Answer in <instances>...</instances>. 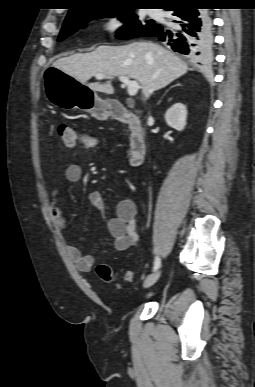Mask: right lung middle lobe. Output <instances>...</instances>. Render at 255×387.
Masks as SVG:
<instances>
[{
    "mask_svg": "<svg viewBox=\"0 0 255 387\" xmlns=\"http://www.w3.org/2000/svg\"><path fill=\"white\" fill-rule=\"evenodd\" d=\"M134 8L119 7L109 10L90 11L74 19H66L58 41L65 39L67 36L75 33L78 29L84 27L89 21L103 17H118L125 25L117 31L116 37L119 39H129L141 35L143 30L148 27L159 26L153 23H143L133 13Z\"/></svg>",
    "mask_w": 255,
    "mask_h": 387,
    "instance_id": "obj_1",
    "label": "right lung middle lobe"
}]
</instances>
